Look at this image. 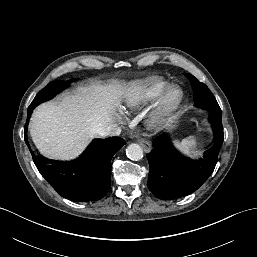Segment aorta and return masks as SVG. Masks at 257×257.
I'll return each mask as SVG.
<instances>
[{
	"mask_svg": "<svg viewBox=\"0 0 257 257\" xmlns=\"http://www.w3.org/2000/svg\"><path fill=\"white\" fill-rule=\"evenodd\" d=\"M126 155L130 160L138 161L143 158V150L138 144L132 143L127 146Z\"/></svg>",
	"mask_w": 257,
	"mask_h": 257,
	"instance_id": "obj_1",
	"label": "aorta"
}]
</instances>
